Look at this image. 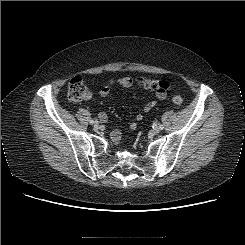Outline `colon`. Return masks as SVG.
I'll use <instances>...</instances> for the list:
<instances>
[{
    "label": "colon",
    "mask_w": 245,
    "mask_h": 245,
    "mask_svg": "<svg viewBox=\"0 0 245 245\" xmlns=\"http://www.w3.org/2000/svg\"><path fill=\"white\" fill-rule=\"evenodd\" d=\"M123 86L136 85L146 90L155 91L156 93L165 94L169 90V84L166 81L151 79L147 77L131 78L127 77L121 81ZM86 86L84 80L80 76L73 77L67 86L68 98L71 101H81L86 96ZM172 102L175 105H181L183 98L181 96H174Z\"/></svg>",
    "instance_id": "1"
}]
</instances>
